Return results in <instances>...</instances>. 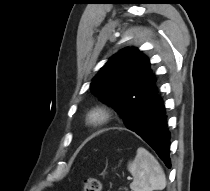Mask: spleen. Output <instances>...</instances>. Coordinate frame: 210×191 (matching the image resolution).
<instances>
[{
  "mask_svg": "<svg viewBox=\"0 0 210 191\" xmlns=\"http://www.w3.org/2000/svg\"><path fill=\"white\" fill-rule=\"evenodd\" d=\"M128 170L134 178L130 184L132 191L163 190L166 187L162 167L145 148L137 149L134 160L128 164Z\"/></svg>",
  "mask_w": 210,
  "mask_h": 191,
  "instance_id": "1",
  "label": "spleen"
}]
</instances>
